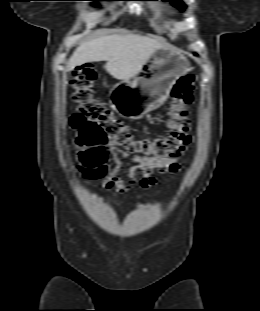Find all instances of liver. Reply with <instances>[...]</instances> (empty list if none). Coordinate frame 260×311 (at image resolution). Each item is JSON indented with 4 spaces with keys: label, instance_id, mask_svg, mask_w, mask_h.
Listing matches in <instances>:
<instances>
[{
    "label": "liver",
    "instance_id": "6515ba94",
    "mask_svg": "<svg viewBox=\"0 0 260 311\" xmlns=\"http://www.w3.org/2000/svg\"><path fill=\"white\" fill-rule=\"evenodd\" d=\"M166 46L158 40L130 32L105 35L81 43L67 64L73 70L88 62L106 61V71L116 79L138 74L152 54Z\"/></svg>",
    "mask_w": 260,
    "mask_h": 311
}]
</instances>
